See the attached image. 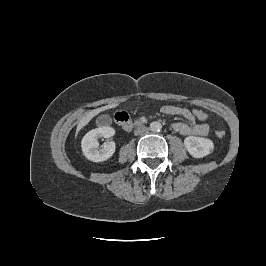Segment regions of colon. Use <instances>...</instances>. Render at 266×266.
I'll use <instances>...</instances> for the list:
<instances>
[{
	"instance_id": "colon-1",
	"label": "colon",
	"mask_w": 266,
	"mask_h": 266,
	"mask_svg": "<svg viewBox=\"0 0 266 266\" xmlns=\"http://www.w3.org/2000/svg\"><path fill=\"white\" fill-rule=\"evenodd\" d=\"M191 113L194 116V118L199 120V121L206 120L208 117L207 113L204 110L198 109V108L193 109L191 111ZM215 134L218 138H222L225 136V131L224 130H217Z\"/></svg>"
}]
</instances>
